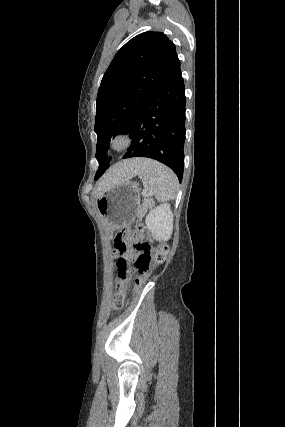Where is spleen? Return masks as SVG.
Returning a JSON list of instances; mask_svg holds the SVG:
<instances>
[{
  "label": "spleen",
  "instance_id": "obj_1",
  "mask_svg": "<svg viewBox=\"0 0 285 427\" xmlns=\"http://www.w3.org/2000/svg\"><path fill=\"white\" fill-rule=\"evenodd\" d=\"M137 175L142 180L145 190L151 191L158 202L175 198L179 182L174 172L165 165L145 159Z\"/></svg>",
  "mask_w": 285,
  "mask_h": 427
}]
</instances>
